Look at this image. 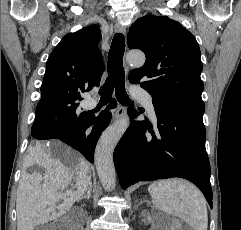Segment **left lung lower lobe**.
<instances>
[{
  "label": "left lung lower lobe",
  "instance_id": "0a47b994",
  "mask_svg": "<svg viewBox=\"0 0 241 230\" xmlns=\"http://www.w3.org/2000/svg\"><path fill=\"white\" fill-rule=\"evenodd\" d=\"M157 126L132 122L114 150L123 189L139 181L181 177L193 182L212 208L210 163L203 114L154 101ZM132 117L139 114L130 108ZM146 131L152 138L146 136Z\"/></svg>",
  "mask_w": 241,
  "mask_h": 230
}]
</instances>
